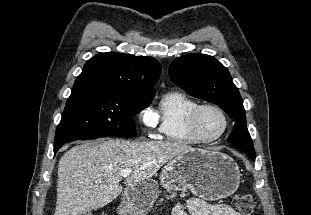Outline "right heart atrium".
Here are the masks:
<instances>
[{"label": "right heart atrium", "mask_w": 311, "mask_h": 215, "mask_svg": "<svg viewBox=\"0 0 311 215\" xmlns=\"http://www.w3.org/2000/svg\"><path fill=\"white\" fill-rule=\"evenodd\" d=\"M139 123L142 126V132L146 137H152L157 130V119L149 108L142 109L138 114Z\"/></svg>", "instance_id": "1"}]
</instances>
